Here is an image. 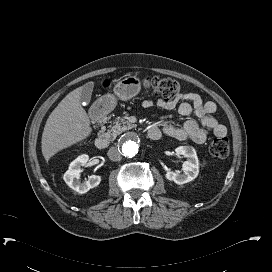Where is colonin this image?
Masks as SVG:
<instances>
[{
	"label": "colon",
	"instance_id": "obj_1",
	"mask_svg": "<svg viewBox=\"0 0 272 272\" xmlns=\"http://www.w3.org/2000/svg\"><path fill=\"white\" fill-rule=\"evenodd\" d=\"M110 86L109 81H104L102 87L104 89ZM143 87L146 91L156 97L162 98L166 102L172 101L179 96L180 85L173 78H165L159 76H149L143 79ZM230 143L227 137H217L212 140L209 146L211 155L218 158L226 157L229 154Z\"/></svg>",
	"mask_w": 272,
	"mask_h": 272
}]
</instances>
